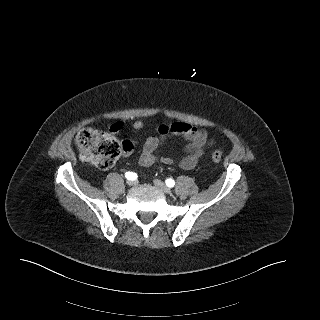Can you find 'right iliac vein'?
<instances>
[{"mask_svg": "<svg viewBox=\"0 0 320 320\" xmlns=\"http://www.w3.org/2000/svg\"><path fill=\"white\" fill-rule=\"evenodd\" d=\"M127 184H128L129 186H134V185L136 184V181H134V180H128V181H127Z\"/></svg>", "mask_w": 320, "mask_h": 320, "instance_id": "right-iliac-vein-1", "label": "right iliac vein"}]
</instances>
